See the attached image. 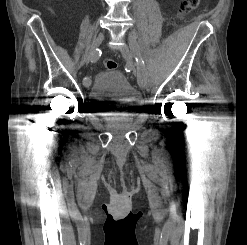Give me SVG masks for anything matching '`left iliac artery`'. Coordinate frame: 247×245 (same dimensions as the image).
<instances>
[{"mask_svg": "<svg viewBox=\"0 0 247 245\" xmlns=\"http://www.w3.org/2000/svg\"><path fill=\"white\" fill-rule=\"evenodd\" d=\"M128 41L130 42L131 48V58H135L137 70H138V77L142 78L146 74L145 64L140 55V48H139V38L136 37L135 31H130L128 35Z\"/></svg>", "mask_w": 247, "mask_h": 245, "instance_id": "1", "label": "left iliac artery"}]
</instances>
